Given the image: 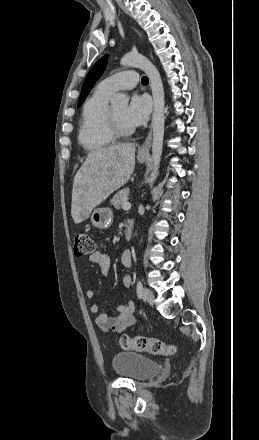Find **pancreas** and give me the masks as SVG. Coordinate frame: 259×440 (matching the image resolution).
Listing matches in <instances>:
<instances>
[{
  "instance_id": "1",
  "label": "pancreas",
  "mask_w": 259,
  "mask_h": 440,
  "mask_svg": "<svg viewBox=\"0 0 259 440\" xmlns=\"http://www.w3.org/2000/svg\"><path fill=\"white\" fill-rule=\"evenodd\" d=\"M129 188H124L122 190H120L119 192H117L112 200H111V204L114 206L115 209H120L121 206L127 202L128 200V195H129Z\"/></svg>"
}]
</instances>
